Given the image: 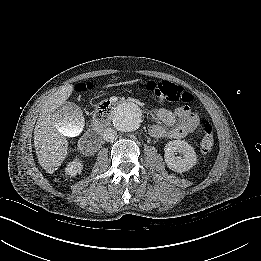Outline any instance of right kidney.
<instances>
[{
    "label": "right kidney",
    "mask_w": 261,
    "mask_h": 261,
    "mask_svg": "<svg viewBox=\"0 0 261 261\" xmlns=\"http://www.w3.org/2000/svg\"><path fill=\"white\" fill-rule=\"evenodd\" d=\"M83 169V163L79 160H74L72 162H69L66 167V173L70 176H75L77 174H80Z\"/></svg>",
    "instance_id": "1"
}]
</instances>
